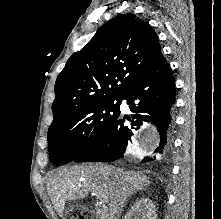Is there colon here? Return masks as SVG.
Returning <instances> with one entry per match:
<instances>
[{"label":"colon","mask_w":221,"mask_h":219,"mask_svg":"<svg viewBox=\"0 0 221 219\" xmlns=\"http://www.w3.org/2000/svg\"><path fill=\"white\" fill-rule=\"evenodd\" d=\"M66 219H90L88 213L81 207L72 205L66 210Z\"/></svg>","instance_id":"5ec220e1"}]
</instances>
